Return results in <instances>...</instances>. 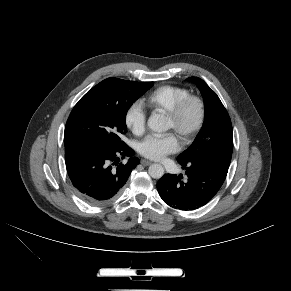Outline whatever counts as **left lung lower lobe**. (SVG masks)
I'll return each mask as SVG.
<instances>
[{
  "label": "left lung lower lobe",
  "instance_id": "obj_1",
  "mask_svg": "<svg viewBox=\"0 0 291 291\" xmlns=\"http://www.w3.org/2000/svg\"><path fill=\"white\" fill-rule=\"evenodd\" d=\"M186 170L180 174L164 175L157 183L162 200L180 210H194L208 203L222 186L230 163L211 158L179 162Z\"/></svg>",
  "mask_w": 291,
  "mask_h": 291
}]
</instances>
